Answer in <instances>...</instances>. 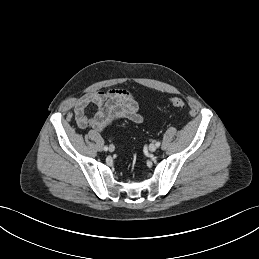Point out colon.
Here are the masks:
<instances>
[{
    "label": "colon",
    "mask_w": 259,
    "mask_h": 259,
    "mask_svg": "<svg viewBox=\"0 0 259 259\" xmlns=\"http://www.w3.org/2000/svg\"><path fill=\"white\" fill-rule=\"evenodd\" d=\"M171 105L179 110H184L186 108L185 102L180 98L171 99Z\"/></svg>",
    "instance_id": "5ec220e1"
}]
</instances>
